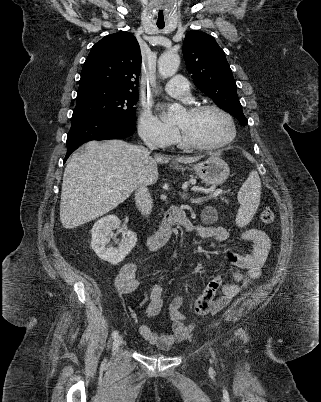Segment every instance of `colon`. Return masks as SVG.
Listing matches in <instances>:
<instances>
[{
    "label": "colon",
    "mask_w": 321,
    "mask_h": 402,
    "mask_svg": "<svg viewBox=\"0 0 321 402\" xmlns=\"http://www.w3.org/2000/svg\"><path fill=\"white\" fill-rule=\"evenodd\" d=\"M261 221L264 224H271L274 221V212L272 210V208L270 207H265L262 212H261ZM212 303V299H207L205 301L200 302L197 306H196V312L198 314H205L208 312V310L210 309Z\"/></svg>",
    "instance_id": "obj_1"
}]
</instances>
